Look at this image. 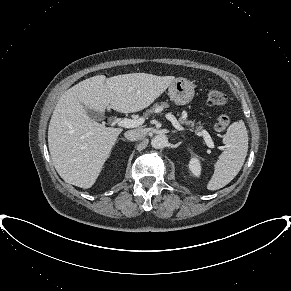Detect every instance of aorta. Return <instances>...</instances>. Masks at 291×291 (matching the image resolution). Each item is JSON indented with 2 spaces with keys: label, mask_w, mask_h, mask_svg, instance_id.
I'll return each mask as SVG.
<instances>
[{
  "label": "aorta",
  "mask_w": 291,
  "mask_h": 291,
  "mask_svg": "<svg viewBox=\"0 0 291 291\" xmlns=\"http://www.w3.org/2000/svg\"><path fill=\"white\" fill-rule=\"evenodd\" d=\"M168 143V138L164 134L156 135L151 139V145L155 149H162Z\"/></svg>",
  "instance_id": "obj_1"
}]
</instances>
